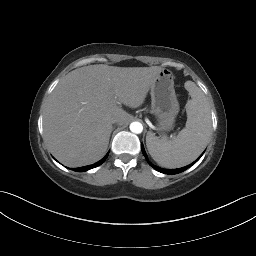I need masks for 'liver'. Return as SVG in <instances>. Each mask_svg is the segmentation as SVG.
<instances>
[{
  "label": "liver",
  "mask_w": 256,
  "mask_h": 256,
  "mask_svg": "<svg viewBox=\"0 0 256 256\" xmlns=\"http://www.w3.org/2000/svg\"><path fill=\"white\" fill-rule=\"evenodd\" d=\"M163 69L89 65L69 72L53 90L43 115L44 138L51 153L68 167L100 160L113 130L131 116L119 105L141 106Z\"/></svg>",
  "instance_id": "obj_1"
}]
</instances>
